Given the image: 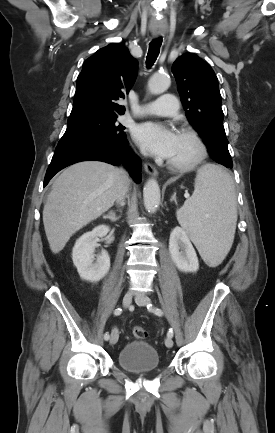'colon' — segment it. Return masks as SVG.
I'll return each instance as SVG.
<instances>
[{
  "label": "colon",
  "mask_w": 275,
  "mask_h": 433,
  "mask_svg": "<svg viewBox=\"0 0 275 433\" xmlns=\"http://www.w3.org/2000/svg\"><path fill=\"white\" fill-rule=\"evenodd\" d=\"M133 335L138 339H144L147 337V331L141 326H135L133 328Z\"/></svg>",
  "instance_id": "colon-1"
}]
</instances>
